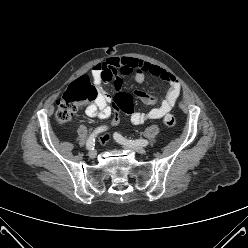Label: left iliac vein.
I'll list each match as a JSON object with an SVG mask.
<instances>
[{"label":"left iliac vein","instance_id":"4c4485c4","mask_svg":"<svg viewBox=\"0 0 248 248\" xmlns=\"http://www.w3.org/2000/svg\"><path fill=\"white\" fill-rule=\"evenodd\" d=\"M121 144V143H120ZM126 149H131L137 153L145 154L146 150L143 147L137 146V145H129V144H121Z\"/></svg>","mask_w":248,"mask_h":248}]
</instances>
